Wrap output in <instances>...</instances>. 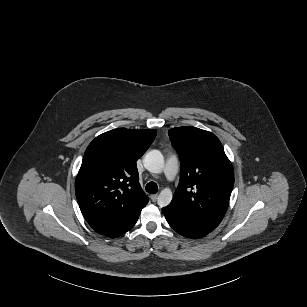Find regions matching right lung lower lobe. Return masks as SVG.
I'll return each instance as SVG.
<instances>
[{
  "instance_id": "98d812e1",
  "label": "right lung lower lobe",
  "mask_w": 307,
  "mask_h": 307,
  "mask_svg": "<svg viewBox=\"0 0 307 307\" xmlns=\"http://www.w3.org/2000/svg\"><path fill=\"white\" fill-rule=\"evenodd\" d=\"M140 215V212L137 213L133 218H131L128 222H126L123 226L119 227L118 229H116L115 231L111 232L108 235L105 236H109V237H117L120 236L122 234H124L125 232H127L128 230H130L134 224L136 223L138 217Z\"/></svg>"
}]
</instances>
